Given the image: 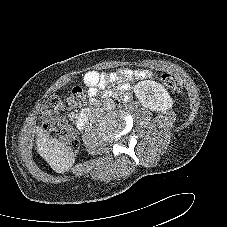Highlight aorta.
I'll return each instance as SVG.
<instances>
[{"instance_id": "762f6f07", "label": "aorta", "mask_w": 227, "mask_h": 227, "mask_svg": "<svg viewBox=\"0 0 227 227\" xmlns=\"http://www.w3.org/2000/svg\"><path fill=\"white\" fill-rule=\"evenodd\" d=\"M104 109L112 110L115 108V102L112 99H106L103 103Z\"/></svg>"}]
</instances>
